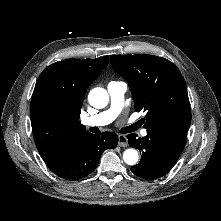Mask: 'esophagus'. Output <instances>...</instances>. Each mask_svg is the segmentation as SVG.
<instances>
[{"label": "esophagus", "instance_id": "1", "mask_svg": "<svg viewBox=\"0 0 221 221\" xmlns=\"http://www.w3.org/2000/svg\"><path fill=\"white\" fill-rule=\"evenodd\" d=\"M118 144L121 147H127L128 146V139L125 135H118Z\"/></svg>", "mask_w": 221, "mask_h": 221}]
</instances>
